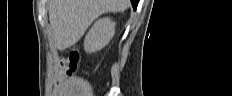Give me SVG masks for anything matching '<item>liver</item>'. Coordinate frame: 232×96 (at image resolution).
Here are the masks:
<instances>
[{"mask_svg":"<svg viewBox=\"0 0 232 96\" xmlns=\"http://www.w3.org/2000/svg\"><path fill=\"white\" fill-rule=\"evenodd\" d=\"M130 4V0H50L49 20L56 48H69L82 38L97 17L122 12Z\"/></svg>","mask_w":232,"mask_h":96,"instance_id":"liver-1","label":"liver"}]
</instances>
